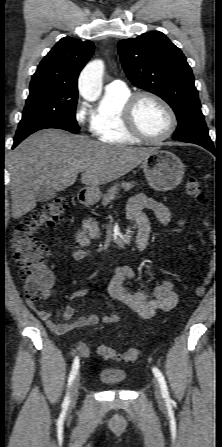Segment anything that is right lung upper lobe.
Instances as JSON below:
<instances>
[{
    "label": "right lung upper lobe",
    "mask_w": 222,
    "mask_h": 447,
    "mask_svg": "<svg viewBox=\"0 0 222 447\" xmlns=\"http://www.w3.org/2000/svg\"><path fill=\"white\" fill-rule=\"evenodd\" d=\"M93 52L94 44L89 40L62 38L39 64L30 88L45 85L56 92L78 96V75Z\"/></svg>",
    "instance_id": "cb5924a9"
}]
</instances>
